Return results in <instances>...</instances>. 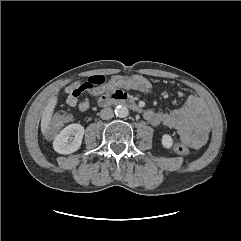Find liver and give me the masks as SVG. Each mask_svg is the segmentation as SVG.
Returning <instances> with one entry per match:
<instances>
[{"instance_id":"obj_1","label":"liver","mask_w":241,"mask_h":241,"mask_svg":"<svg viewBox=\"0 0 241 241\" xmlns=\"http://www.w3.org/2000/svg\"><path fill=\"white\" fill-rule=\"evenodd\" d=\"M57 105V97H52L50 101L47 103L45 109L43 110L42 113V118H41V132L43 134L46 133L52 119V115L54 113V109Z\"/></svg>"}]
</instances>
